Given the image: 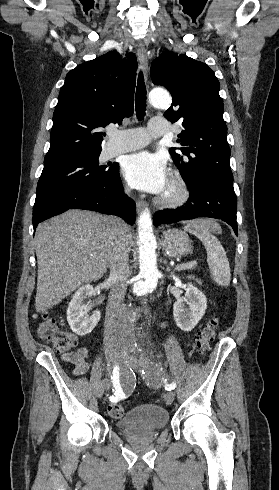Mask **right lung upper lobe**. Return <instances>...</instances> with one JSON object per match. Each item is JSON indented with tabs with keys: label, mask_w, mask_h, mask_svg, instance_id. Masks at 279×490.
I'll return each instance as SVG.
<instances>
[{
	"label": "right lung upper lobe",
	"mask_w": 279,
	"mask_h": 490,
	"mask_svg": "<svg viewBox=\"0 0 279 490\" xmlns=\"http://www.w3.org/2000/svg\"><path fill=\"white\" fill-rule=\"evenodd\" d=\"M126 56L122 60L116 51L108 52L67 74L45 162L100 153L106 135L100 129L133 114L137 61L132 53Z\"/></svg>",
	"instance_id": "cb5924a9"
}]
</instances>
